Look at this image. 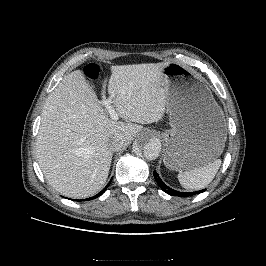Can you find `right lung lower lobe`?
Listing matches in <instances>:
<instances>
[{
	"mask_svg": "<svg viewBox=\"0 0 266 266\" xmlns=\"http://www.w3.org/2000/svg\"><path fill=\"white\" fill-rule=\"evenodd\" d=\"M111 182V181H110ZM110 182H109V184H110ZM109 184L100 192V193H98L97 195H95L94 197H91V198H89V200H91V199H94V198H97V197H99L100 195H102L105 191H106V189H107V187L109 186ZM82 201V200H81Z\"/></svg>",
	"mask_w": 266,
	"mask_h": 266,
	"instance_id": "right-lung-lower-lobe-1",
	"label": "right lung lower lobe"
}]
</instances>
